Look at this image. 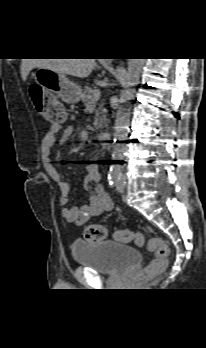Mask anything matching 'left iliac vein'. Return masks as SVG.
I'll return each instance as SVG.
<instances>
[{"label": "left iliac vein", "instance_id": "4c4485c4", "mask_svg": "<svg viewBox=\"0 0 206 348\" xmlns=\"http://www.w3.org/2000/svg\"><path fill=\"white\" fill-rule=\"evenodd\" d=\"M126 178L122 177L117 183V191L122 193L125 190Z\"/></svg>", "mask_w": 206, "mask_h": 348}]
</instances>
